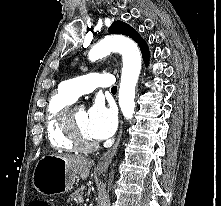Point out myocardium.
Instances as JSON below:
<instances>
[{"instance_id": "obj_1", "label": "myocardium", "mask_w": 221, "mask_h": 206, "mask_svg": "<svg viewBox=\"0 0 221 206\" xmlns=\"http://www.w3.org/2000/svg\"><path fill=\"white\" fill-rule=\"evenodd\" d=\"M75 109L76 107H67L65 111L64 124L68 135L77 150L83 152L93 151L97 147V142L95 140H88L82 135L73 116Z\"/></svg>"}]
</instances>
